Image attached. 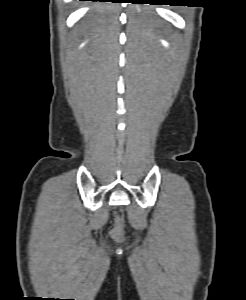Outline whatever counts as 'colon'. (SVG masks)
Masks as SVG:
<instances>
[{
  "label": "colon",
  "instance_id": "obj_1",
  "mask_svg": "<svg viewBox=\"0 0 246 300\" xmlns=\"http://www.w3.org/2000/svg\"><path fill=\"white\" fill-rule=\"evenodd\" d=\"M123 231V223L119 217L116 218L115 226L111 229L110 235L114 239H120Z\"/></svg>",
  "mask_w": 246,
  "mask_h": 300
}]
</instances>
